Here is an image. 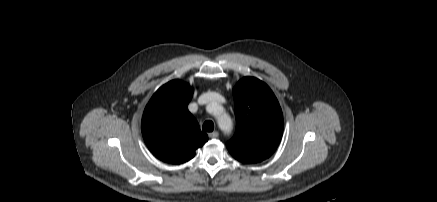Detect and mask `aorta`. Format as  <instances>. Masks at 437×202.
Listing matches in <instances>:
<instances>
[{
	"label": "aorta",
	"mask_w": 437,
	"mask_h": 202,
	"mask_svg": "<svg viewBox=\"0 0 437 202\" xmlns=\"http://www.w3.org/2000/svg\"><path fill=\"white\" fill-rule=\"evenodd\" d=\"M221 106L219 104H214V109L217 111ZM218 126L226 134H229L232 130V120L229 115L223 114L218 117Z\"/></svg>",
	"instance_id": "aorta-1"
}]
</instances>
